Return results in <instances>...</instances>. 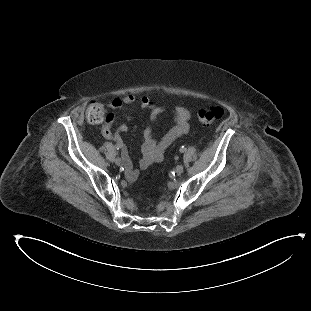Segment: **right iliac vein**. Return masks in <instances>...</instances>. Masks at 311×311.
<instances>
[{"instance_id": "obj_1", "label": "right iliac vein", "mask_w": 311, "mask_h": 311, "mask_svg": "<svg viewBox=\"0 0 311 311\" xmlns=\"http://www.w3.org/2000/svg\"><path fill=\"white\" fill-rule=\"evenodd\" d=\"M115 164L118 165V166H120V165L122 164V160H121L119 157H117V158L115 159Z\"/></svg>"}]
</instances>
